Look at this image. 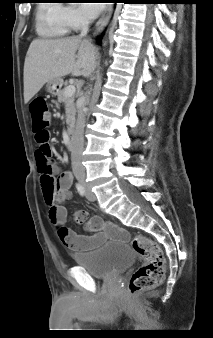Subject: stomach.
<instances>
[{"label": "stomach", "mask_w": 213, "mask_h": 338, "mask_svg": "<svg viewBox=\"0 0 213 338\" xmlns=\"http://www.w3.org/2000/svg\"><path fill=\"white\" fill-rule=\"evenodd\" d=\"M62 84L63 80L61 78L49 81L46 85L47 91L52 95H56L59 92Z\"/></svg>", "instance_id": "1"}]
</instances>
